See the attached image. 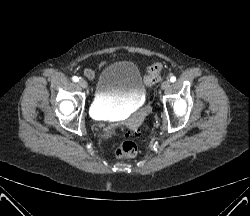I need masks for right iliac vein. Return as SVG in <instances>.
<instances>
[{
    "instance_id": "1",
    "label": "right iliac vein",
    "mask_w": 250,
    "mask_h": 216,
    "mask_svg": "<svg viewBox=\"0 0 250 216\" xmlns=\"http://www.w3.org/2000/svg\"><path fill=\"white\" fill-rule=\"evenodd\" d=\"M78 84H79V86L80 87H82V88H87V82L84 80V79H80L79 81H78Z\"/></svg>"
}]
</instances>
